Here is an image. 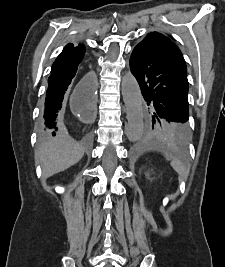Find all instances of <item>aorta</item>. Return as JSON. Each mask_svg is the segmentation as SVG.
Segmentation results:
<instances>
[{
	"label": "aorta",
	"instance_id": "1",
	"mask_svg": "<svg viewBox=\"0 0 225 267\" xmlns=\"http://www.w3.org/2000/svg\"><path fill=\"white\" fill-rule=\"evenodd\" d=\"M122 95L127 113V137L131 142L139 140L144 128L143 97L135 77L125 73L122 79Z\"/></svg>",
	"mask_w": 225,
	"mask_h": 267
}]
</instances>
